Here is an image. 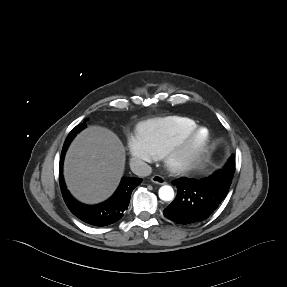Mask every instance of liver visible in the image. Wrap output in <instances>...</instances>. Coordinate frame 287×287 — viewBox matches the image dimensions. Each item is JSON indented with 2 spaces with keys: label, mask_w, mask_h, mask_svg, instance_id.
I'll return each mask as SVG.
<instances>
[{
  "label": "liver",
  "mask_w": 287,
  "mask_h": 287,
  "mask_svg": "<svg viewBox=\"0 0 287 287\" xmlns=\"http://www.w3.org/2000/svg\"><path fill=\"white\" fill-rule=\"evenodd\" d=\"M125 167V149L116 134L90 126L71 143L64 161V177L72 195L94 204L117 188Z\"/></svg>",
  "instance_id": "liver-1"
}]
</instances>
